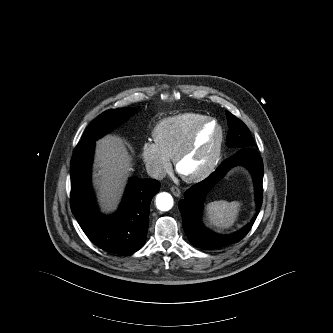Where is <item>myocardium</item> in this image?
I'll return each mask as SVG.
<instances>
[{"label": "myocardium", "mask_w": 333, "mask_h": 333, "mask_svg": "<svg viewBox=\"0 0 333 333\" xmlns=\"http://www.w3.org/2000/svg\"><path fill=\"white\" fill-rule=\"evenodd\" d=\"M209 124H214L218 128L219 132V137L216 145L215 152L213 154V157L211 158L210 162L203 168L201 171L192 174V175H187L184 174L181 171V163L185 159V157L189 154V152L193 149L197 137L199 133ZM224 140H225V133H224V128L223 126L214 118H206L204 121L199 123L192 131L184 145L178 150L174 157V164L176 171L178 174L186 181L189 183H196L200 182L204 179H206L208 176H210L216 167L219 164V161L222 156V151H223V145H224Z\"/></svg>", "instance_id": "f54148a6"}]
</instances>
